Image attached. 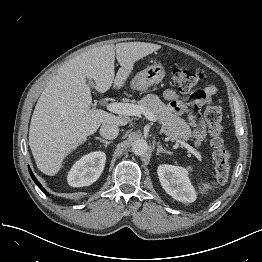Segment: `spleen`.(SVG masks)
<instances>
[{"label":"spleen","mask_w":262,"mask_h":262,"mask_svg":"<svg viewBox=\"0 0 262 262\" xmlns=\"http://www.w3.org/2000/svg\"><path fill=\"white\" fill-rule=\"evenodd\" d=\"M187 169L192 171L193 168H192V166H188Z\"/></svg>","instance_id":"1"}]
</instances>
